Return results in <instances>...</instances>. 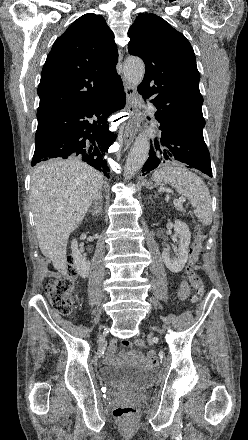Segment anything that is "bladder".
Instances as JSON below:
<instances>
[{
    "mask_svg": "<svg viewBox=\"0 0 248 440\" xmlns=\"http://www.w3.org/2000/svg\"><path fill=\"white\" fill-rule=\"evenodd\" d=\"M102 378L117 386L136 387L146 386L152 382L153 375L146 370L134 367H103Z\"/></svg>",
    "mask_w": 248,
    "mask_h": 440,
    "instance_id": "bladder-1",
    "label": "bladder"
}]
</instances>
